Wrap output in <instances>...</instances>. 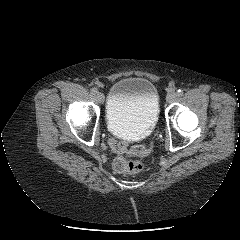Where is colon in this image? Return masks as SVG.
<instances>
[{
	"label": "colon",
	"instance_id": "1",
	"mask_svg": "<svg viewBox=\"0 0 240 240\" xmlns=\"http://www.w3.org/2000/svg\"><path fill=\"white\" fill-rule=\"evenodd\" d=\"M149 152L147 148L137 146L129 151L131 155L144 156ZM114 170L118 173L135 174L143 169V164L139 160H131L126 156H118L113 162Z\"/></svg>",
	"mask_w": 240,
	"mask_h": 240
}]
</instances>
